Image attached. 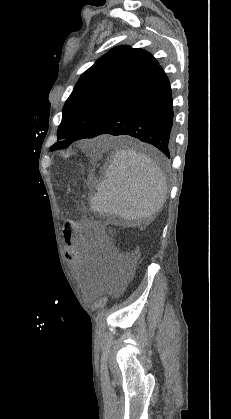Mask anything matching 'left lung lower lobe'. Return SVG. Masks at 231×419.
<instances>
[{
  "label": "left lung lower lobe",
  "instance_id": "obj_1",
  "mask_svg": "<svg viewBox=\"0 0 231 419\" xmlns=\"http://www.w3.org/2000/svg\"><path fill=\"white\" fill-rule=\"evenodd\" d=\"M173 107L169 80L161 66L150 72L87 138L102 134L130 135L170 158Z\"/></svg>",
  "mask_w": 231,
  "mask_h": 419
}]
</instances>
